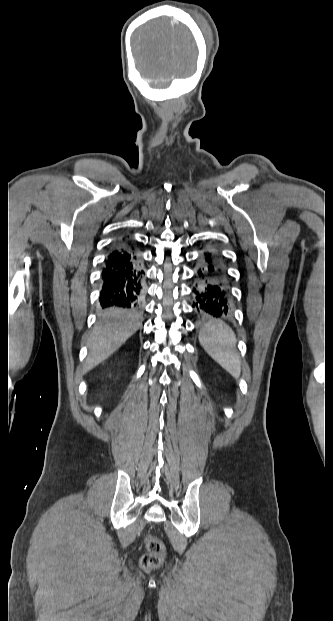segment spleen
Masks as SVG:
<instances>
[{"mask_svg":"<svg viewBox=\"0 0 333 621\" xmlns=\"http://www.w3.org/2000/svg\"><path fill=\"white\" fill-rule=\"evenodd\" d=\"M199 342L222 368L233 377H240L241 360L236 350V337L227 324L221 320H210L201 328Z\"/></svg>","mask_w":333,"mask_h":621,"instance_id":"obj_1","label":"spleen"}]
</instances>
